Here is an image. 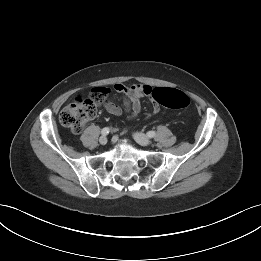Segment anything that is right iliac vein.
<instances>
[{
	"instance_id": "right-iliac-vein-1",
	"label": "right iliac vein",
	"mask_w": 261,
	"mask_h": 261,
	"mask_svg": "<svg viewBox=\"0 0 261 261\" xmlns=\"http://www.w3.org/2000/svg\"><path fill=\"white\" fill-rule=\"evenodd\" d=\"M107 141L108 140H107V137L105 135H103L99 138V142H100L101 145H105L107 143Z\"/></svg>"
}]
</instances>
